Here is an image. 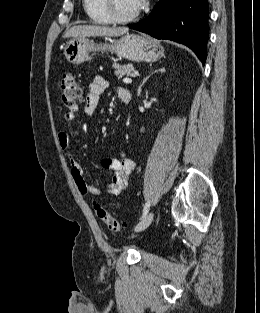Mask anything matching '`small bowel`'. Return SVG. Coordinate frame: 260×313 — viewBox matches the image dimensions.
I'll return each instance as SVG.
<instances>
[{
    "label": "small bowel",
    "mask_w": 260,
    "mask_h": 313,
    "mask_svg": "<svg viewBox=\"0 0 260 313\" xmlns=\"http://www.w3.org/2000/svg\"><path fill=\"white\" fill-rule=\"evenodd\" d=\"M107 86L108 83L102 76L95 77L90 83L85 106V114L87 116H92L96 112L100 103V96ZM118 96L121 100L126 99L128 102L130 101V93L125 88L119 89ZM77 111L78 107H73L65 112L64 120L72 122ZM58 141L68 160L74 184L83 196H100L102 194L114 196L121 194L128 187L130 175L135 169V163L130 158H127L124 153H121L122 159L115 157L102 159V167L112 170V177L111 181L103 189H100L85 180L83 169L75 159L71 148V134L68 131H61L58 134Z\"/></svg>",
    "instance_id": "small-bowel-1"
}]
</instances>
